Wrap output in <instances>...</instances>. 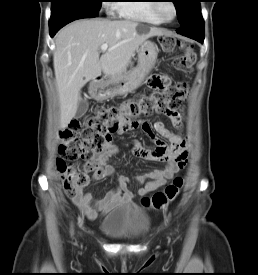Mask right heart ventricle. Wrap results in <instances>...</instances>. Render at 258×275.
<instances>
[{
    "mask_svg": "<svg viewBox=\"0 0 258 275\" xmlns=\"http://www.w3.org/2000/svg\"><path fill=\"white\" fill-rule=\"evenodd\" d=\"M112 5L117 13L125 18L159 25L162 21L153 11V0H124Z\"/></svg>",
    "mask_w": 258,
    "mask_h": 275,
    "instance_id": "e07e8e85",
    "label": "right heart ventricle"
}]
</instances>
